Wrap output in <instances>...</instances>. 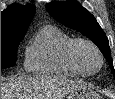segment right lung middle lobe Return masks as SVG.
<instances>
[{
	"mask_svg": "<svg viewBox=\"0 0 115 99\" xmlns=\"http://www.w3.org/2000/svg\"><path fill=\"white\" fill-rule=\"evenodd\" d=\"M24 35H1V69L15 65L17 48Z\"/></svg>",
	"mask_w": 115,
	"mask_h": 99,
	"instance_id": "right-lung-middle-lobe-1",
	"label": "right lung middle lobe"
}]
</instances>
